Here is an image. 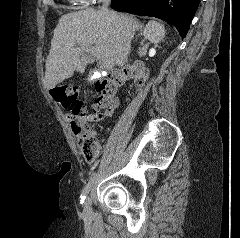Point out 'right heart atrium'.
<instances>
[{
    "mask_svg": "<svg viewBox=\"0 0 240 238\" xmlns=\"http://www.w3.org/2000/svg\"><path fill=\"white\" fill-rule=\"evenodd\" d=\"M81 4H84V5H90V4H93L97 1H101V0H75Z\"/></svg>",
    "mask_w": 240,
    "mask_h": 238,
    "instance_id": "right-heart-atrium-1",
    "label": "right heart atrium"
}]
</instances>
